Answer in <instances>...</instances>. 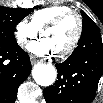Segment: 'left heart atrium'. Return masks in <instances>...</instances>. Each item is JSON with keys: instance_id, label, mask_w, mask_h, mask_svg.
Wrapping results in <instances>:
<instances>
[{"instance_id": "obj_1", "label": "left heart atrium", "mask_w": 103, "mask_h": 103, "mask_svg": "<svg viewBox=\"0 0 103 103\" xmlns=\"http://www.w3.org/2000/svg\"><path fill=\"white\" fill-rule=\"evenodd\" d=\"M27 49L29 52L39 56L55 53L51 41L46 37L40 38L39 40L30 43L27 46Z\"/></svg>"}]
</instances>
